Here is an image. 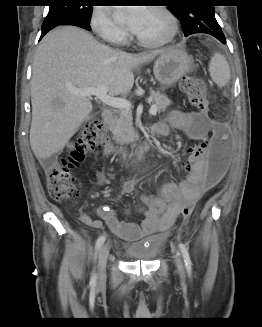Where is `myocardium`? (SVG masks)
I'll use <instances>...</instances> for the list:
<instances>
[{"mask_svg": "<svg viewBox=\"0 0 262 327\" xmlns=\"http://www.w3.org/2000/svg\"><path fill=\"white\" fill-rule=\"evenodd\" d=\"M150 9L159 13L165 19L169 26V31L165 37L158 40L145 39L139 36L137 33H134L136 42L145 47H162L174 41L179 30L176 17L170 10L161 5H155Z\"/></svg>", "mask_w": 262, "mask_h": 327, "instance_id": "1", "label": "myocardium"}]
</instances>
